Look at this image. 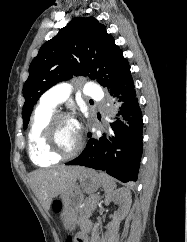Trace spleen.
<instances>
[{
  "mask_svg": "<svg viewBox=\"0 0 187 242\" xmlns=\"http://www.w3.org/2000/svg\"><path fill=\"white\" fill-rule=\"evenodd\" d=\"M101 179H102V185L105 193L108 195L111 194L114 189L116 188V183L112 177L107 175L106 173H100Z\"/></svg>",
  "mask_w": 187,
  "mask_h": 242,
  "instance_id": "1",
  "label": "spleen"
}]
</instances>
